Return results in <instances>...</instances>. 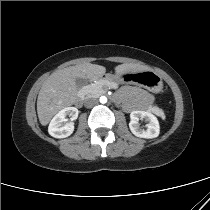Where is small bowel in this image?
Here are the masks:
<instances>
[{
    "label": "small bowel",
    "mask_w": 210,
    "mask_h": 210,
    "mask_svg": "<svg viewBox=\"0 0 210 210\" xmlns=\"http://www.w3.org/2000/svg\"><path fill=\"white\" fill-rule=\"evenodd\" d=\"M115 101L124 104V108L127 111H133L135 109H144L153 101V96L145 91L135 88H123L115 96Z\"/></svg>",
    "instance_id": "obj_1"
}]
</instances>
